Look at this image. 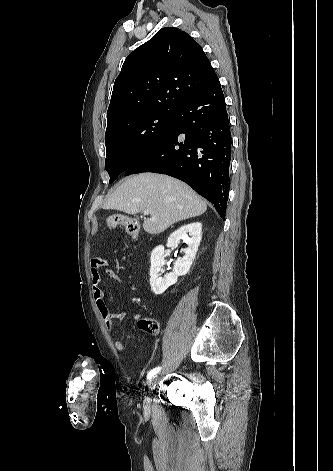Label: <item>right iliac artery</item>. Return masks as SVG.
I'll return each mask as SVG.
<instances>
[{
	"label": "right iliac artery",
	"instance_id": "82829eb1",
	"mask_svg": "<svg viewBox=\"0 0 333 471\" xmlns=\"http://www.w3.org/2000/svg\"><path fill=\"white\" fill-rule=\"evenodd\" d=\"M160 370H161V367L153 368L151 371H149L147 375V379L154 377Z\"/></svg>",
	"mask_w": 333,
	"mask_h": 471
}]
</instances>
